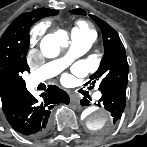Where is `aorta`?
<instances>
[{
    "instance_id": "762f6f07",
    "label": "aorta",
    "mask_w": 147,
    "mask_h": 147,
    "mask_svg": "<svg viewBox=\"0 0 147 147\" xmlns=\"http://www.w3.org/2000/svg\"><path fill=\"white\" fill-rule=\"evenodd\" d=\"M68 45V36L65 31L46 35L41 41V52L46 58H55L61 47ZM83 121L90 130L101 131L111 126L112 117L103 108L88 107L82 112Z\"/></svg>"
}]
</instances>
